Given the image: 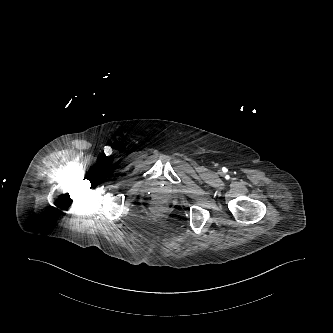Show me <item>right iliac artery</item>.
<instances>
[{"instance_id":"1","label":"right iliac artery","mask_w":333,"mask_h":333,"mask_svg":"<svg viewBox=\"0 0 333 333\" xmlns=\"http://www.w3.org/2000/svg\"><path fill=\"white\" fill-rule=\"evenodd\" d=\"M104 152H105L106 155H109V154L112 152L111 147H109V146H105V147H104Z\"/></svg>"}]
</instances>
